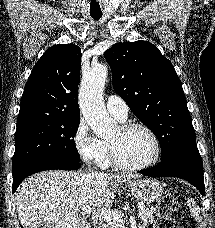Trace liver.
Instances as JSON below:
<instances>
[{
    "label": "liver",
    "instance_id": "liver-1",
    "mask_svg": "<svg viewBox=\"0 0 215 228\" xmlns=\"http://www.w3.org/2000/svg\"><path fill=\"white\" fill-rule=\"evenodd\" d=\"M141 178L132 174H77L48 170L26 178L16 190V208L23 228H91L85 206H110L111 186Z\"/></svg>",
    "mask_w": 215,
    "mask_h": 228
}]
</instances>
